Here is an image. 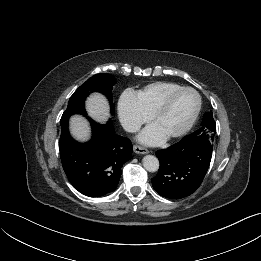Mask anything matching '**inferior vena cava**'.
Wrapping results in <instances>:
<instances>
[{"label": "inferior vena cava", "mask_w": 261, "mask_h": 261, "mask_svg": "<svg viewBox=\"0 0 261 261\" xmlns=\"http://www.w3.org/2000/svg\"><path fill=\"white\" fill-rule=\"evenodd\" d=\"M123 127L126 131L132 132V133L137 132L140 129V126L135 123H126V124H124Z\"/></svg>", "instance_id": "inferior-vena-cava-1"}]
</instances>
